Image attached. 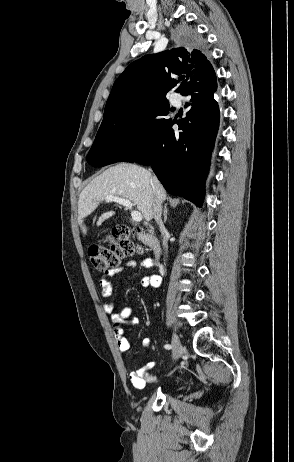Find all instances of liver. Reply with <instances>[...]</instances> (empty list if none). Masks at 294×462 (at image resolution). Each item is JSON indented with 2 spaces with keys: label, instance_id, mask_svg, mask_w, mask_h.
<instances>
[{
  "label": "liver",
  "instance_id": "6515ba94",
  "mask_svg": "<svg viewBox=\"0 0 294 462\" xmlns=\"http://www.w3.org/2000/svg\"><path fill=\"white\" fill-rule=\"evenodd\" d=\"M109 195L132 201L146 221L153 217L155 198L160 202L166 199V191L162 184L145 168L126 163L110 167L93 179L79 196L78 223L84 235L87 233V228L83 224L84 218ZM114 214V211L103 213L97 221V226Z\"/></svg>",
  "mask_w": 294,
  "mask_h": 462
}]
</instances>
